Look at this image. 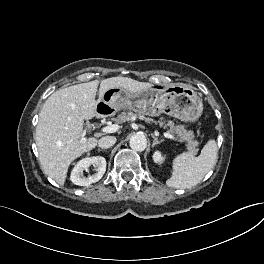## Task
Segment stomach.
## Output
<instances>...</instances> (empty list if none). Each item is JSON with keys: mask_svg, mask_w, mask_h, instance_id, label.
Masks as SVG:
<instances>
[{"mask_svg": "<svg viewBox=\"0 0 264 264\" xmlns=\"http://www.w3.org/2000/svg\"><path fill=\"white\" fill-rule=\"evenodd\" d=\"M124 109L152 117L165 113L185 122H194L201 116L203 104L190 87L173 85L167 88L151 86L137 94L113 87L104 92L96 105V113L101 117Z\"/></svg>", "mask_w": 264, "mask_h": 264, "instance_id": "obj_1", "label": "stomach"}]
</instances>
